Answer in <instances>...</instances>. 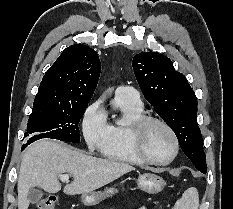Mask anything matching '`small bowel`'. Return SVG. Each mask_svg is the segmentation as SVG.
Returning a JSON list of instances; mask_svg holds the SVG:
<instances>
[{"instance_id": "c3829d8e", "label": "small bowel", "mask_w": 233, "mask_h": 209, "mask_svg": "<svg viewBox=\"0 0 233 209\" xmlns=\"http://www.w3.org/2000/svg\"><path fill=\"white\" fill-rule=\"evenodd\" d=\"M139 209H148L147 207H141V208H139Z\"/></svg>"}]
</instances>
